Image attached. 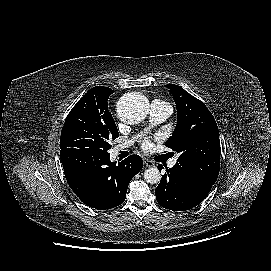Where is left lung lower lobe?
Instances as JSON below:
<instances>
[{
  "mask_svg": "<svg viewBox=\"0 0 271 271\" xmlns=\"http://www.w3.org/2000/svg\"><path fill=\"white\" fill-rule=\"evenodd\" d=\"M212 185L175 164L166 168L155 191L156 199L166 209L186 211L200 204Z\"/></svg>",
  "mask_w": 271,
  "mask_h": 271,
  "instance_id": "obj_1",
  "label": "left lung lower lobe"
}]
</instances>
